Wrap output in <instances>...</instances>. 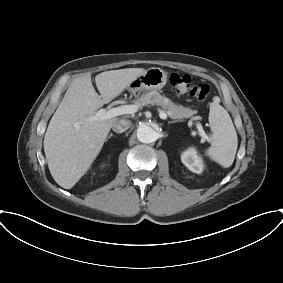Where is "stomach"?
Wrapping results in <instances>:
<instances>
[{
	"mask_svg": "<svg viewBox=\"0 0 283 283\" xmlns=\"http://www.w3.org/2000/svg\"><path fill=\"white\" fill-rule=\"evenodd\" d=\"M167 82V73L161 68H150L134 80L129 86L133 92L158 91L162 89Z\"/></svg>",
	"mask_w": 283,
	"mask_h": 283,
	"instance_id": "1",
	"label": "stomach"
}]
</instances>
